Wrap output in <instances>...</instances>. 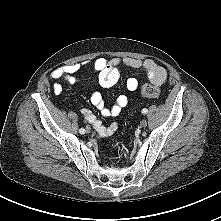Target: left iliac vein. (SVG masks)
<instances>
[{
    "mask_svg": "<svg viewBox=\"0 0 221 221\" xmlns=\"http://www.w3.org/2000/svg\"><path fill=\"white\" fill-rule=\"evenodd\" d=\"M146 126H147V120L144 119V120L141 121V127L145 128Z\"/></svg>",
    "mask_w": 221,
    "mask_h": 221,
    "instance_id": "1",
    "label": "left iliac vein"
}]
</instances>
